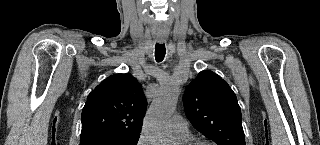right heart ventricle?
Returning a JSON list of instances; mask_svg holds the SVG:
<instances>
[{
    "instance_id": "e07e8e85",
    "label": "right heart ventricle",
    "mask_w": 320,
    "mask_h": 145,
    "mask_svg": "<svg viewBox=\"0 0 320 145\" xmlns=\"http://www.w3.org/2000/svg\"><path fill=\"white\" fill-rule=\"evenodd\" d=\"M181 141H183V142H186V141H188L189 140V138H184V139H182V138H179Z\"/></svg>"
}]
</instances>
